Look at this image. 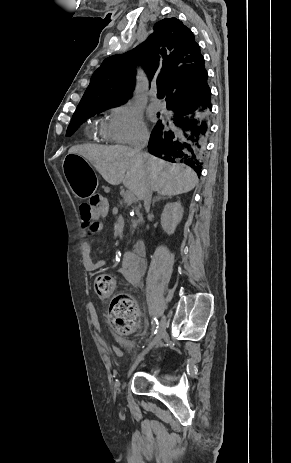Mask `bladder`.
Segmentation results:
<instances>
[{
    "label": "bladder",
    "mask_w": 291,
    "mask_h": 463,
    "mask_svg": "<svg viewBox=\"0 0 291 463\" xmlns=\"http://www.w3.org/2000/svg\"><path fill=\"white\" fill-rule=\"evenodd\" d=\"M118 345L123 351H133L134 350V345L130 339H126V338L120 339L118 342Z\"/></svg>",
    "instance_id": "bladder-1"
}]
</instances>
